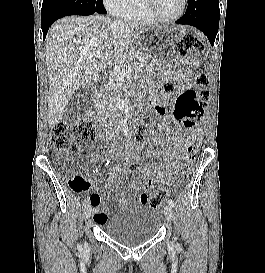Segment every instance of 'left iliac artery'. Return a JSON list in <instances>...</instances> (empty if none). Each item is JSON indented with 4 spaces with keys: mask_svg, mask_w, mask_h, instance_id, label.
<instances>
[{
    "mask_svg": "<svg viewBox=\"0 0 265 273\" xmlns=\"http://www.w3.org/2000/svg\"><path fill=\"white\" fill-rule=\"evenodd\" d=\"M167 203H168L169 206L175 207V203H174V201L171 198L167 199Z\"/></svg>",
    "mask_w": 265,
    "mask_h": 273,
    "instance_id": "1",
    "label": "left iliac artery"
}]
</instances>
